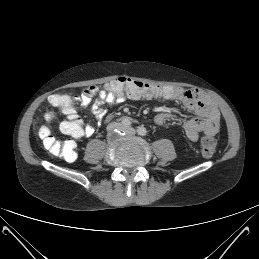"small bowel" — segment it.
<instances>
[{
	"mask_svg": "<svg viewBox=\"0 0 259 259\" xmlns=\"http://www.w3.org/2000/svg\"><path fill=\"white\" fill-rule=\"evenodd\" d=\"M55 95L49 97V102L53 104ZM126 99H141L125 92L115 93L109 90H98L95 86L86 87L81 95L76 96L74 100H68L60 107L67 118L77 116V108L74 102L79 103L81 107H91L94 117L102 121L106 115V105H115L123 103ZM148 100L161 99L166 101H180L186 109L195 114V117L181 120L184 132L191 141H197L200 136L214 137L219 130L220 114L216 105L198 90L187 89L179 86L160 87L159 94L156 97L144 98ZM168 120H177V117L169 112L163 111L154 117L157 125H163ZM94 134V128L91 125L82 126V132L78 138L90 137Z\"/></svg>",
	"mask_w": 259,
	"mask_h": 259,
	"instance_id": "1",
	"label": "small bowel"
}]
</instances>
